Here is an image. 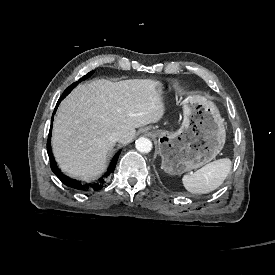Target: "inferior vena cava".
Wrapping results in <instances>:
<instances>
[{
	"mask_svg": "<svg viewBox=\"0 0 275 275\" xmlns=\"http://www.w3.org/2000/svg\"><path fill=\"white\" fill-rule=\"evenodd\" d=\"M122 136H123V133L121 131H117L111 134L110 140L112 142H117L122 138Z\"/></svg>",
	"mask_w": 275,
	"mask_h": 275,
	"instance_id": "602c4592",
	"label": "inferior vena cava"
}]
</instances>
